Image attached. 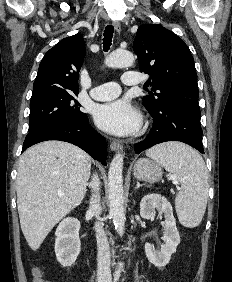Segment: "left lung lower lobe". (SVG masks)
I'll return each mask as SVG.
<instances>
[{
  "label": "left lung lower lobe",
  "mask_w": 232,
  "mask_h": 282,
  "mask_svg": "<svg viewBox=\"0 0 232 282\" xmlns=\"http://www.w3.org/2000/svg\"><path fill=\"white\" fill-rule=\"evenodd\" d=\"M146 109L153 117V127L149 135L135 145L136 154L166 141H180L204 152L198 98L176 97L159 109Z\"/></svg>",
  "instance_id": "1"
}]
</instances>
